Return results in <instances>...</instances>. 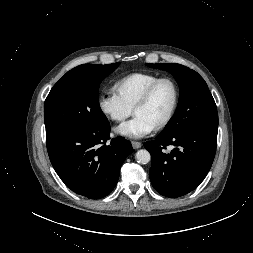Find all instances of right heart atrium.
<instances>
[{
    "instance_id": "right-heart-atrium-1",
    "label": "right heart atrium",
    "mask_w": 253,
    "mask_h": 253,
    "mask_svg": "<svg viewBox=\"0 0 253 253\" xmlns=\"http://www.w3.org/2000/svg\"><path fill=\"white\" fill-rule=\"evenodd\" d=\"M98 107L105 116L115 122L124 121L132 113V108L114 91L100 94L98 96Z\"/></svg>"
}]
</instances>
